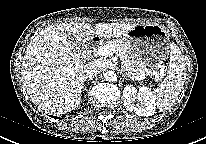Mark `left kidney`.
Instances as JSON below:
<instances>
[{"label": "left kidney", "mask_w": 206, "mask_h": 144, "mask_svg": "<svg viewBox=\"0 0 206 144\" xmlns=\"http://www.w3.org/2000/svg\"><path fill=\"white\" fill-rule=\"evenodd\" d=\"M138 99L141 105L135 107L134 101ZM123 101L126 110L134 111L138 116H152L155 113L156 103L151 90L141 87L137 90L132 85L125 86L123 90Z\"/></svg>", "instance_id": "left-kidney-1"}]
</instances>
